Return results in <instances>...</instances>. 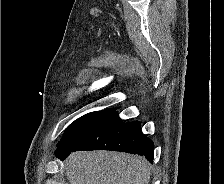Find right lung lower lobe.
Wrapping results in <instances>:
<instances>
[{
	"label": "right lung lower lobe",
	"mask_w": 224,
	"mask_h": 184,
	"mask_svg": "<svg viewBox=\"0 0 224 184\" xmlns=\"http://www.w3.org/2000/svg\"><path fill=\"white\" fill-rule=\"evenodd\" d=\"M77 150H112L144 155L153 162L154 144L141 131L138 121L123 122L114 111L105 121L92 128L69 145L59 146L55 152L63 160Z\"/></svg>",
	"instance_id": "right-lung-lower-lobe-1"
}]
</instances>
